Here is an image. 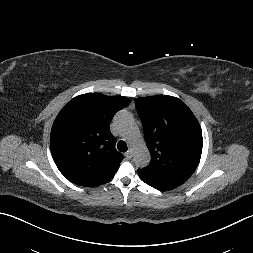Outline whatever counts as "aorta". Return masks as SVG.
Wrapping results in <instances>:
<instances>
[{
  "label": "aorta",
  "instance_id": "obj_1",
  "mask_svg": "<svg viewBox=\"0 0 253 253\" xmlns=\"http://www.w3.org/2000/svg\"><path fill=\"white\" fill-rule=\"evenodd\" d=\"M116 124L127 137L134 150V162L138 167H145L150 162V153L136 126L133 117L128 113H120L116 117Z\"/></svg>",
  "mask_w": 253,
  "mask_h": 253
}]
</instances>
